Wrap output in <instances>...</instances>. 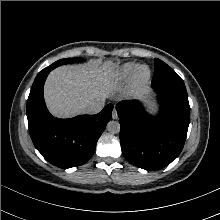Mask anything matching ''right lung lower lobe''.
Listing matches in <instances>:
<instances>
[{
    "mask_svg": "<svg viewBox=\"0 0 220 220\" xmlns=\"http://www.w3.org/2000/svg\"><path fill=\"white\" fill-rule=\"evenodd\" d=\"M54 67L40 71L27 100V118L31 139L36 149L51 164L71 168L86 163L93 155L97 140L111 119L113 105L108 104L95 115L58 119L47 110L44 82Z\"/></svg>",
    "mask_w": 220,
    "mask_h": 220,
    "instance_id": "right-lung-lower-lobe-1",
    "label": "right lung lower lobe"
}]
</instances>
